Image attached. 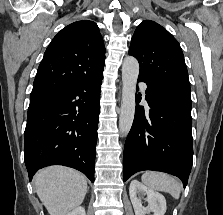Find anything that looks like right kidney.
<instances>
[{"label":"right kidney","mask_w":223,"mask_h":215,"mask_svg":"<svg viewBox=\"0 0 223 215\" xmlns=\"http://www.w3.org/2000/svg\"><path fill=\"white\" fill-rule=\"evenodd\" d=\"M66 215H86V211L82 205H78V207H75V209H72V211H69Z\"/></svg>","instance_id":"obj_1"}]
</instances>
